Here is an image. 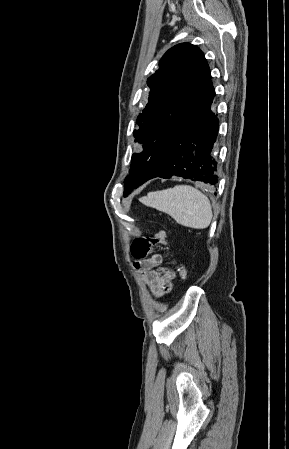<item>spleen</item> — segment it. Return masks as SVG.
Listing matches in <instances>:
<instances>
[{
	"label": "spleen",
	"instance_id": "spleen-1",
	"mask_svg": "<svg viewBox=\"0 0 289 449\" xmlns=\"http://www.w3.org/2000/svg\"><path fill=\"white\" fill-rule=\"evenodd\" d=\"M141 202L170 215L182 226L205 229L212 220L210 200L189 185H176L161 191L150 192Z\"/></svg>",
	"mask_w": 289,
	"mask_h": 449
}]
</instances>
